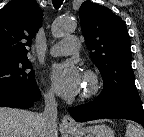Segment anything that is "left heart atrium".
Here are the masks:
<instances>
[{
    "instance_id": "39dd6f15",
    "label": "left heart atrium",
    "mask_w": 144,
    "mask_h": 137,
    "mask_svg": "<svg viewBox=\"0 0 144 137\" xmlns=\"http://www.w3.org/2000/svg\"><path fill=\"white\" fill-rule=\"evenodd\" d=\"M51 80L56 93L65 99L77 96L83 86L82 75L71 62L55 65L51 71Z\"/></svg>"
}]
</instances>
